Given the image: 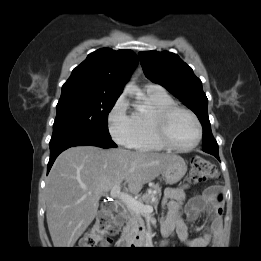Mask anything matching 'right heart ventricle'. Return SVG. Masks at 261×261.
I'll return each mask as SVG.
<instances>
[{"mask_svg":"<svg viewBox=\"0 0 261 261\" xmlns=\"http://www.w3.org/2000/svg\"><path fill=\"white\" fill-rule=\"evenodd\" d=\"M146 101L149 104L148 110H136L132 114L136 126V135L130 147L141 151H160L164 147L155 136L152 117L154 113L175 103L165 91H146Z\"/></svg>","mask_w":261,"mask_h":261,"instance_id":"e07e8e85","label":"right heart ventricle"}]
</instances>
